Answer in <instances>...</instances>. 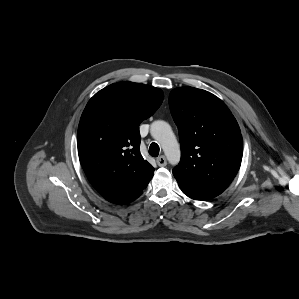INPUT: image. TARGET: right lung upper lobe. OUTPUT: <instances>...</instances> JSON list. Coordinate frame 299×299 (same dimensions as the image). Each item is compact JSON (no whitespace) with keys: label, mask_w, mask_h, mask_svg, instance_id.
<instances>
[{"label":"right lung upper lobe","mask_w":299,"mask_h":299,"mask_svg":"<svg viewBox=\"0 0 299 299\" xmlns=\"http://www.w3.org/2000/svg\"><path fill=\"white\" fill-rule=\"evenodd\" d=\"M163 98L159 88L118 82L86 105L77 133L79 160L89 182L109 202L134 201L153 177L154 168L140 154L139 124Z\"/></svg>","instance_id":"obj_1"}]
</instances>
